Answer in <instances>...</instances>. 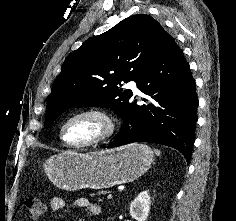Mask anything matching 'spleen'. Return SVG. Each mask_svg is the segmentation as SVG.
Wrapping results in <instances>:
<instances>
[{
    "instance_id": "1",
    "label": "spleen",
    "mask_w": 236,
    "mask_h": 221,
    "mask_svg": "<svg viewBox=\"0 0 236 221\" xmlns=\"http://www.w3.org/2000/svg\"><path fill=\"white\" fill-rule=\"evenodd\" d=\"M156 155H160V151L158 149H154Z\"/></svg>"
}]
</instances>
